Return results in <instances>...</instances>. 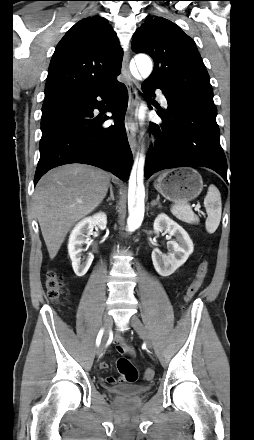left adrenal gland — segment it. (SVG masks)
Wrapping results in <instances>:
<instances>
[{
    "label": "left adrenal gland",
    "mask_w": 254,
    "mask_h": 440,
    "mask_svg": "<svg viewBox=\"0 0 254 440\" xmlns=\"http://www.w3.org/2000/svg\"><path fill=\"white\" fill-rule=\"evenodd\" d=\"M159 199H160V196L157 195L156 200L151 202V207L158 206V208H160L161 207V203H160Z\"/></svg>",
    "instance_id": "1"
}]
</instances>
